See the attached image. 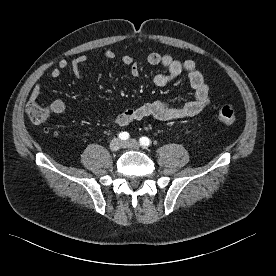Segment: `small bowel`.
Masks as SVG:
<instances>
[{"label": "small bowel", "mask_w": 276, "mask_h": 276, "mask_svg": "<svg viewBox=\"0 0 276 276\" xmlns=\"http://www.w3.org/2000/svg\"><path fill=\"white\" fill-rule=\"evenodd\" d=\"M104 56L108 60H113L116 54L112 50H106ZM86 55H78L68 61L61 59L57 67L50 72L52 79L60 77L62 71L68 66L78 80L84 79L82 67L86 64ZM150 65H162L166 68V73H158L153 77V83L158 87L169 84L172 80L185 73L190 86L194 90V97L180 107H174L163 101H155L144 104L135 109H128L118 116H108V122L120 126L127 125L133 121L141 120L146 117H154L159 120H175L184 117L194 116L201 112L210 103L209 87L204 81L202 74L198 71L197 65L192 60L180 61L171 55H161L150 53L147 56ZM121 63L130 68V73L134 78L140 76V69L137 62L130 55H123ZM41 94V85L35 84L30 93V100L36 101ZM51 109L55 114H63L66 111V103L61 99H56L51 103Z\"/></svg>", "instance_id": "obj_1"}]
</instances>
